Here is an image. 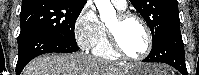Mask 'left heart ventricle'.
I'll return each mask as SVG.
<instances>
[{
	"label": "left heart ventricle",
	"instance_id": "obj_1",
	"mask_svg": "<svg viewBox=\"0 0 199 75\" xmlns=\"http://www.w3.org/2000/svg\"><path fill=\"white\" fill-rule=\"evenodd\" d=\"M108 27L117 34L118 40L127 54L138 56L145 51L147 38L143 27L138 21L131 19L119 23L117 17H115L108 23Z\"/></svg>",
	"mask_w": 199,
	"mask_h": 75
}]
</instances>
